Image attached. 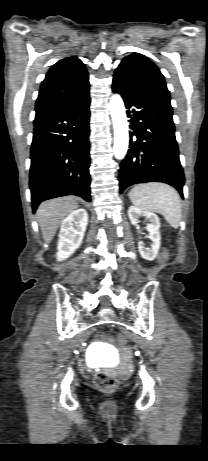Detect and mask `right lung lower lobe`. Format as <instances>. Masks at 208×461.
Listing matches in <instances>:
<instances>
[{
    "mask_svg": "<svg viewBox=\"0 0 208 461\" xmlns=\"http://www.w3.org/2000/svg\"><path fill=\"white\" fill-rule=\"evenodd\" d=\"M89 94L34 120L30 190L33 212L47 199L77 195L90 202Z\"/></svg>",
    "mask_w": 208,
    "mask_h": 461,
    "instance_id": "right-lung-lower-lobe-1",
    "label": "right lung lower lobe"
}]
</instances>
